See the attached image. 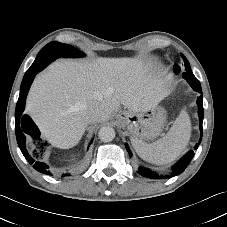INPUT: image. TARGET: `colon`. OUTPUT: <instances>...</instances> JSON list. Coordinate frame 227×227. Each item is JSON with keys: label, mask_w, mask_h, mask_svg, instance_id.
<instances>
[{"label": "colon", "mask_w": 227, "mask_h": 227, "mask_svg": "<svg viewBox=\"0 0 227 227\" xmlns=\"http://www.w3.org/2000/svg\"><path fill=\"white\" fill-rule=\"evenodd\" d=\"M37 142H38V144H39L41 147H43V148L45 147V142H44V141L37 139Z\"/></svg>", "instance_id": "colon-1"}]
</instances>
